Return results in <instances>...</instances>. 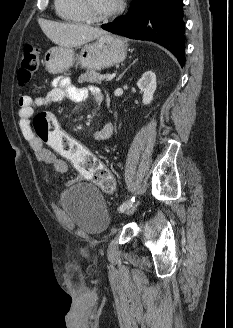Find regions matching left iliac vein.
<instances>
[{
  "instance_id": "4c4485c4",
  "label": "left iliac vein",
  "mask_w": 233,
  "mask_h": 328,
  "mask_svg": "<svg viewBox=\"0 0 233 328\" xmlns=\"http://www.w3.org/2000/svg\"><path fill=\"white\" fill-rule=\"evenodd\" d=\"M138 205H139V202L132 204L128 209L125 210V213L126 214L132 213L133 211H135V209L138 207Z\"/></svg>"
}]
</instances>
